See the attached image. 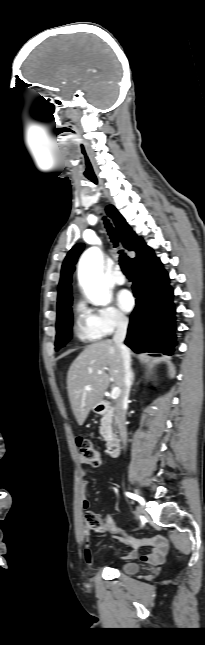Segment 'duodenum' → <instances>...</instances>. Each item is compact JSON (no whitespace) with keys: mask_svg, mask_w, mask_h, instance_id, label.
<instances>
[{"mask_svg":"<svg viewBox=\"0 0 205 645\" xmlns=\"http://www.w3.org/2000/svg\"><path fill=\"white\" fill-rule=\"evenodd\" d=\"M97 412L100 414H111L113 408L107 402H101L97 406ZM106 451L110 457H116L120 452V440L116 436H111L106 443Z\"/></svg>","mask_w":205,"mask_h":645,"instance_id":"obj_1","label":"duodenum"}]
</instances>
